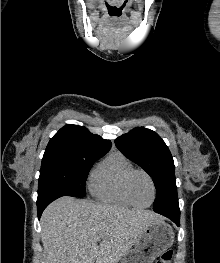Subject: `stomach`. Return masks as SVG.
I'll return each instance as SVG.
<instances>
[{
	"instance_id": "1",
	"label": "stomach",
	"mask_w": 220,
	"mask_h": 263,
	"mask_svg": "<svg viewBox=\"0 0 220 263\" xmlns=\"http://www.w3.org/2000/svg\"><path fill=\"white\" fill-rule=\"evenodd\" d=\"M174 242L173 228L163 219L146 227L138 236L135 247L129 250L121 263H153Z\"/></svg>"
}]
</instances>
